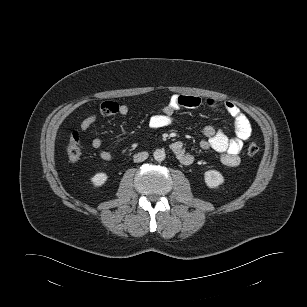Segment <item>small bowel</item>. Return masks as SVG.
Instances as JSON below:
<instances>
[{
    "label": "small bowel",
    "instance_id": "1",
    "mask_svg": "<svg viewBox=\"0 0 307 307\" xmlns=\"http://www.w3.org/2000/svg\"><path fill=\"white\" fill-rule=\"evenodd\" d=\"M205 106L214 110H222L228 113L234 119L235 137L229 138L223 131L216 130L212 126H206L202 130V139L200 146L202 149H213L221 154V162L228 167H236L240 163L239 154L243 143L251 135V125L248 118L241 109L230 101H221L213 98H201L194 95H173L168 104L163 107L162 112L155 114L149 119V126L152 129H160L169 126L174 120V113L180 108H196ZM130 108L126 104H118L113 101H106L100 105V113L104 116L115 114L127 115ZM96 115L85 117L80 123V129L87 131L96 122ZM99 157L106 162L113 159V155L104 149L103 141L100 138L93 139L91 143ZM171 150L178 160L184 165H190L193 162V155L185 149L181 141H175L171 144Z\"/></svg>",
    "mask_w": 307,
    "mask_h": 307
}]
</instances>
